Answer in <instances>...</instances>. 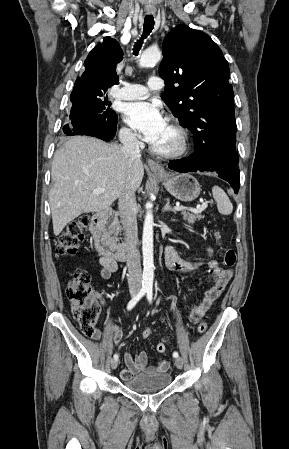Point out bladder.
Here are the masks:
<instances>
[{
	"instance_id": "1",
	"label": "bladder",
	"mask_w": 289,
	"mask_h": 449,
	"mask_svg": "<svg viewBox=\"0 0 289 449\" xmlns=\"http://www.w3.org/2000/svg\"><path fill=\"white\" fill-rule=\"evenodd\" d=\"M122 383L127 389L137 392L160 390L170 385L171 375L169 372L140 373Z\"/></svg>"
}]
</instances>
